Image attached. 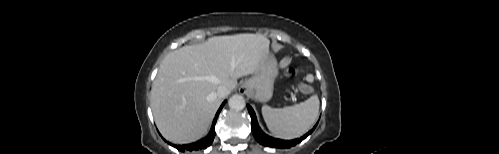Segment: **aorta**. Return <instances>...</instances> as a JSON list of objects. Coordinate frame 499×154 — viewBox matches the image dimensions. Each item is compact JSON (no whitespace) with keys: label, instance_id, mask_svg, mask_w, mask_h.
I'll return each mask as SVG.
<instances>
[{"label":"aorta","instance_id":"762f6f07","mask_svg":"<svg viewBox=\"0 0 499 154\" xmlns=\"http://www.w3.org/2000/svg\"><path fill=\"white\" fill-rule=\"evenodd\" d=\"M229 107L233 110H242L245 107V99L239 94H235L230 97L228 101Z\"/></svg>","mask_w":499,"mask_h":154}]
</instances>
